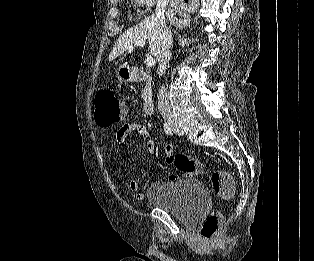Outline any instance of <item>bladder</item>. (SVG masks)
Here are the masks:
<instances>
[{
    "label": "bladder",
    "instance_id": "bladder-1",
    "mask_svg": "<svg viewBox=\"0 0 314 261\" xmlns=\"http://www.w3.org/2000/svg\"><path fill=\"white\" fill-rule=\"evenodd\" d=\"M147 201L193 223L208 207V190L200 180L158 181L148 189Z\"/></svg>",
    "mask_w": 314,
    "mask_h": 261
}]
</instances>
